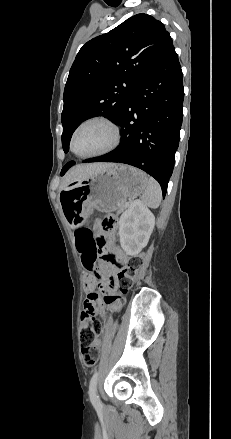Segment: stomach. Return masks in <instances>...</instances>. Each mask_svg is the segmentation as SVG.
Returning <instances> with one entry per match:
<instances>
[{"label":"stomach","instance_id":"0dacf381","mask_svg":"<svg viewBox=\"0 0 231 439\" xmlns=\"http://www.w3.org/2000/svg\"><path fill=\"white\" fill-rule=\"evenodd\" d=\"M74 183L60 194L62 211L72 227L83 224L93 209L102 212L122 210L128 199L146 189L148 176L134 167L115 164Z\"/></svg>","mask_w":231,"mask_h":439}]
</instances>
